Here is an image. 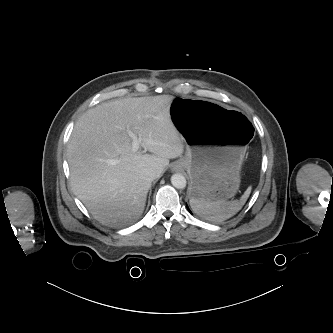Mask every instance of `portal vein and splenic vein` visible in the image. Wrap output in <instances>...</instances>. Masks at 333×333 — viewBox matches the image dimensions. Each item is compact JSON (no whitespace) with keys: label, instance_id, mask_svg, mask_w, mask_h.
<instances>
[{"label":"portal vein and splenic vein","instance_id":"1","mask_svg":"<svg viewBox=\"0 0 333 333\" xmlns=\"http://www.w3.org/2000/svg\"><path fill=\"white\" fill-rule=\"evenodd\" d=\"M128 135L132 140V151L136 152L139 149L141 139L137 137L132 131L128 130ZM116 160H112V164H115Z\"/></svg>","mask_w":333,"mask_h":333}]
</instances>
